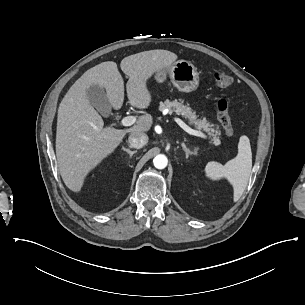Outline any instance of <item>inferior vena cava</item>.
<instances>
[{
  "mask_svg": "<svg viewBox=\"0 0 305 305\" xmlns=\"http://www.w3.org/2000/svg\"><path fill=\"white\" fill-rule=\"evenodd\" d=\"M128 143L131 147L140 149L143 148L148 143V137L145 134L138 136L132 134L128 138Z\"/></svg>",
  "mask_w": 305,
  "mask_h": 305,
  "instance_id": "1",
  "label": "inferior vena cava"
}]
</instances>
